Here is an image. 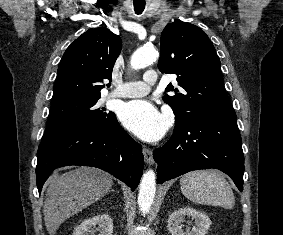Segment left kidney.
Here are the masks:
<instances>
[{"instance_id": "obj_1", "label": "left kidney", "mask_w": 283, "mask_h": 235, "mask_svg": "<svg viewBox=\"0 0 283 235\" xmlns=\"http://www.w3.org/2000/svg\"><path fill=\"white\" fill-rule=\"evenodd\" d=\"M185 216L195 220L191 231L189 228L186 231L182 229ZM210 225L211 220L206 214L187 206L179 208L169 215L167 228L172 235H206Z\"/></svg>"}]
</instances>
